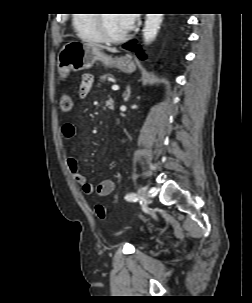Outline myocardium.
I'll return each mask as SVG.
<instances>
[{
  "mask_svg": "<svg viewBox=\"0 0 252 303\" xmlns=\"http://www.w3.org/2000/svg\"><path fill=\"white\" fill-rule=\"evenodd\" d=\"M104 20H105V14H97L98 26L104 41L119 43L126 40L129 37V31H126L124 34L118 36L109 34L104 27Z\"/></svg>",
  "mask_w": 252,
  "mask_h": 303,
  "instance_id": "1",
  "label": "myocardium"
}]
</instances>
